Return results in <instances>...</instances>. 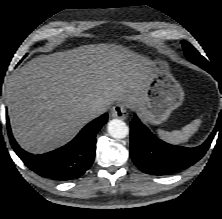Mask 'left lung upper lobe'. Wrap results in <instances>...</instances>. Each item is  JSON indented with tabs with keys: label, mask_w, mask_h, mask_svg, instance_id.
Wrapping results in <instances>:
<instances>
[{
	"label": "left lung upper lobe",
	"mask_w": 222,
	"mask_h": 219,
	"mask_svg": "<svg viewBox=\"0 0 222 219\" xmlns=\"http://www.w3.org/2000/svg\"><path fill=\"white\" fill-rule=\"evenodd\" d=\"M181 43L184 48L185 55L189 60L208 65V61L200 55V53L190 43L186 41H182Z\"/></svg>",
	"instance_id": "1"
}]
</instances>
